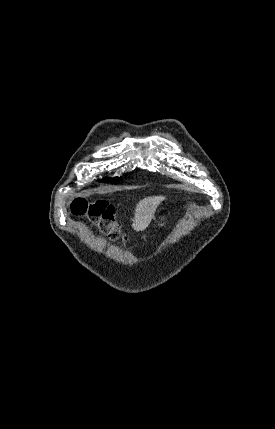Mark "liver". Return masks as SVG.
<instances>
[{
  "mask_svg": "<svg viewBox=\"0 0 275 429\" xmlns=\"http://www.w3.org/2000/svg\"><path fill=\"white\" fill-rule=\"evenodd\" d=\"M165 199L164 196H150L141 200L135 208L132 227L135 231H143L150 224L159 204Z\"/></svg>",
  "mask_w": 275,
  "mask_h": 429,
  "instance_id": "6515ba94",
  "label": "liver"
}]
</instances>
